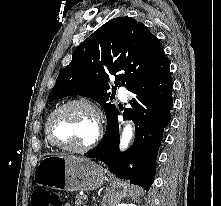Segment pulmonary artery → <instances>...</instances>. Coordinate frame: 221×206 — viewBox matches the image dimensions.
<instances>
[{"mask_svg":"<svg viewBox=\"0 0 221 206\" xmlns=\"http://www.w3.org/2000/svg\"><path fill=\"white\" fill-rule=\"evenodd\" d=\"M118 96L122 101H125L127 99V91L123 86L119 87Z\"/></svg>","mask_w":221,"mask_h":206,"instance_id":"e3ab8cb5","label":"pulmonary artery"}]
</instances>
